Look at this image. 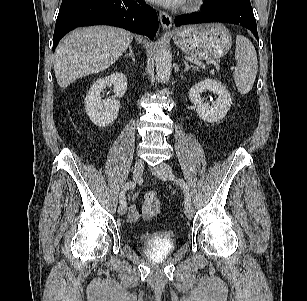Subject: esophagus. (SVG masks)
<instances>
[{
	"instance_id": "obj_1",
	"label": "esophagus",
	"mask_w": 307,
	"mask_h": 301,
	"mask_svg": "<svg viewBox=\"0 0 307 301\" xmlns=\"http://www.w3.org/2000/svg\"><path fill=\"white\" fill-rule=\"evenodd\" d=\"M159 18H160L161 25L164 29H170L172 27L173 19L168 13L164 11H160Z\"/></svg>"
}]
</instances>
